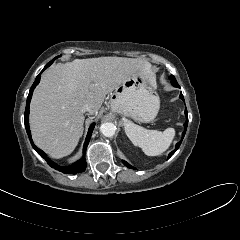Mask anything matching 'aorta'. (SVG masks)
Returning <instances> with one entry per match:
<instances>
[{"mask_svg":"<svg viewBox=\"0 0 240 240\" xmlns=\"http://www.w3.org/2000/svg\"><path fill=\"white\" fill-rule=\"evenodd\" d=\"M116 126L112 122L101 124L100 132L106 137H112L116 132Z\"/></svg>","mask_w":240,"mask_h":240,"instance_id":"aorta-1","label":"aorta"}]
</instances>
